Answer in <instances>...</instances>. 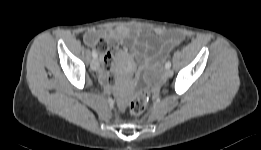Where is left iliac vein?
<instances>
[{
    "instance_id": "obj_1",
    "label": "left iliac vein",
    "mask_w": 261,
    "mask_h": 150,
    "mask_svg": "<svg viewBox=\"0 0 261 150\" xmlns=\"http://www.w3.org/2000/svg\"><path fill=\"white\" fill-rule=\"evenodd\" d=\"M164 76L166 78H170L173 76V71L171 69H166L165 73H164Z\"/></svg>"
}]
</instances>
